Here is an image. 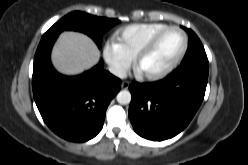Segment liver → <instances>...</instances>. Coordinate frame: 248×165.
Wrapping results in <instances>:
<instances>
[{"mask_svg": "<svg viewBox=\"0 0 248 165\" xmlns=\"http://www.w3.org/2000/svg\"><path fill=\"white\" fill-rule=\"evenodd\" d=\"M100 51L88 36L68 31L62 33L52 50L54 67L65 75H76L96 65Z\"/></svg>", "mask_w": 248, "mask_h": 165, "instance_id": "liver-1", "label": "liver"}]
</instances>
